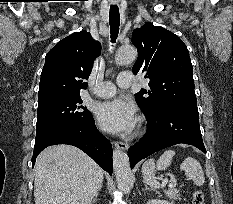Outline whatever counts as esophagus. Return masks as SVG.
<instances>
[{
	"label": "esophagus",
	"mask_w": 233,
	"mask_h": 204,
	"mask_svg": "<svg viewBox=\"0 0 233 204\" xmlns=\"http://www.w3.org/2000/svg\"><path fill=\"white\" fill-rule=\"evenodd\" d=\"M114 146L117 149H121L123 151H126L129 148V145L127 143H125V142H122V141H116V142H114Z\"/></svg>",
	"instance_id": "obj_1"
}]
</instances>
